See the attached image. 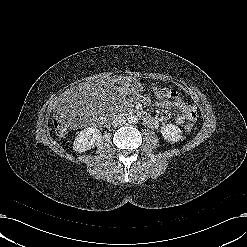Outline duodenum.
Segmentation results:
<instances>
[{
  "instance_id": "410a0bca",
  "label": "duodenum",
  "mask_w": 247,
  "mask_h": 247,
  "mask_svg": "<svg viewBox=\"0 0 247 247\" xmlns=\"http://www.w3.org/2000/svg\"><path fill=\"white\" fill-rule=\"evenodd\" d=\"M128 115L139 117L140 119H142L146 123H150L152 121V117L148 113H146L140 109H132L128 112ZM118 116L119 115H116L115 118H117Z\"/></svg>"
}]
</instances>
